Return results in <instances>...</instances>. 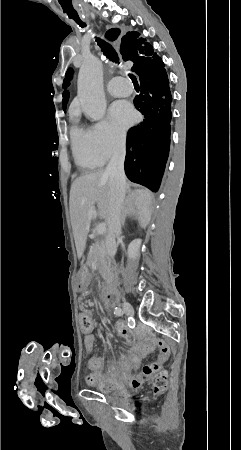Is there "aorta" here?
I'll return each instance as SVG.
<instances>
[{
  "mask_svg": "<svg viewBox=\"0 0 241 450\" xmlns=\"http://www.w3.org/2000/svg\"><path fill=\"white\" fill-rule=\"evenodd\" d=\"M78 96L84 114L100 120L105 114L106 100L103 91L102 64L96 58L86 59L78 74Z\"/></svg>",
  "mask_w": 241,
  "mask_h": 450,
  "instance_id": "762f6f07",
  "label": "aorta"
}]
</instances>
